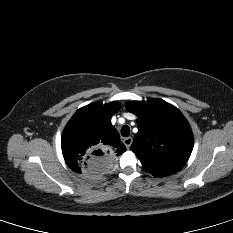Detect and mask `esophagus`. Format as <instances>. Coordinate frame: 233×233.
Segmentation results:
<instances>
[{
	"label": "esophagus",
	"instance_id": "1",
	"mask_svg": "<svg viewBox=\"0 0 233 233\" xmlns=\"http://www.w3.org/2000/svg\"><path fill=\"white\" fill-rule=\"evenodd\" d=\"M132 141H133L132 137H126L124 138L123 143L126 146V148H130Z\"/></svg>",
	"mask_w": 233,
	"mask_h": 233
}]
</instances>
